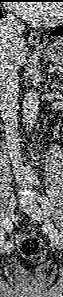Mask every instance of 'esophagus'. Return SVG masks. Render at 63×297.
<instances>
[{
  "instance_id": "esophagus-1",
  "label": "esophagus",
  "mask_w": 63,
  "mask_h": 297,
  "mask_svg": "<svg viewBox=\"0 0 63 297\" xmlns=\"http://www.w3.org/2000/svg\"><path fill=\"white\" fill-rule=\"evenodd\" d=\"M28 41L34 47H42V45L40 44V34L36 31H31Z\"/></svg>"
}]
</instances>
